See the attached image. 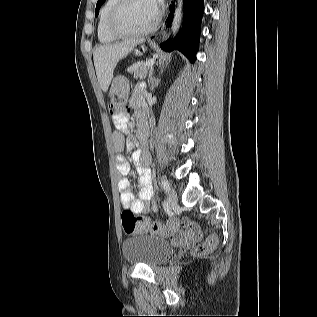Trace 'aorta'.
<instances>
[{
    "mask_svg": "<svg viewBox=\"0 0 317 317\" xmlns=\"http://www.w3.org/2000/svg\"><path fill=\"white\" fill-rule=\"evenodd\" d=\"M175 11L174 18L171 25V35L174 37L179 29L180 21H181V12L183 7V0H177L175 3Z\"/></svg>",
    "mask_w": 317,
    "mask_h": 317,
    "instance_id": "obj_1",
    "label": "aorta"
}]
</instances>
